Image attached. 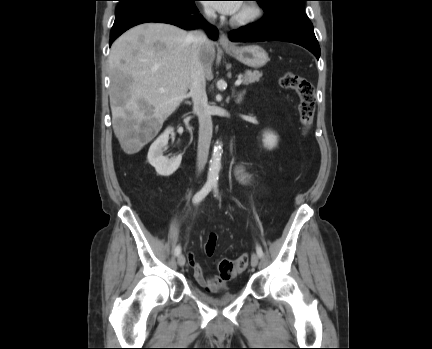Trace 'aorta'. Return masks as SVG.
I'll use <instances>...</instances> for the list:
<instances>
[{
    "mask_svg": "<svg viewBox=\"0 0 432 349\" xmlns=\"http://www.w3.org/2000/svg\"><path fill=\"white\" fill-rule=\"evenodd\" d=\"M221 157H222V145L220 142H216L210 160L209 170H208V181L210 182H217L219 178V172L221 169Z\"/></svg>",
    "mask_w": 432,
    "mask_h": 349,
    "instance_id": "762f6f07",
    "label": "aorta"
}]
</instances>
